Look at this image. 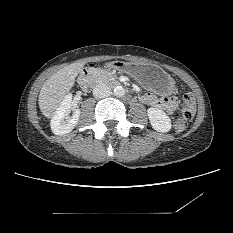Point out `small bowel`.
<instances>
[{
    "label": "small bowel",
    "instance_id": "small-bowel-1",
    "mask_svg": "<svg viewBox=\"0 0 233 233\" xmlns=\"http://www.w3.org/2000/svg\"><path fill=\"white\" fill-rule=\"evenodd\" d=\"M140 100L144 104L164 110L169 115L179 109V100L176 97L159 98L153 93H145Z\"/></svg>",
    "mask_w": 233,
    "mask_h": 233
}]
</instances>
